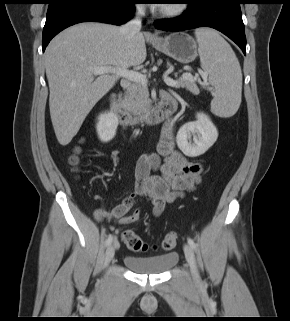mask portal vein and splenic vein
Wrapping results in <instances>:
<instances>
[{
  "mask_svg": "<svg viewBox=\"0 0 290 321\" xmlns=\"http://www.w3.org/2000/svg\"><path fill=\"white\" fill-rule=\"evenodd\" d=\"M91 71L94 73V75L111 73L118 77H123V78L129 79L130 81H133L135 83H139L142 85H146L148 82L146 76L139 72L126 70V69H118L112 66L94 67V68H91ZM202 77L204 81L207 80V76L205 74H203ZM182 79H193V76L190 73H185L184 75H182ZM164 82L169 86H176L178 84L177 81H174L173 79L168 77L167 73L164 75Z\"/></svg>",
  "mask_w": 290,
  "mask_h": 321,
  "instance_id": "portal-vein-and-splenic-vein-1",
  "label": "portal vein and splenic vein"
}]
</instances>
